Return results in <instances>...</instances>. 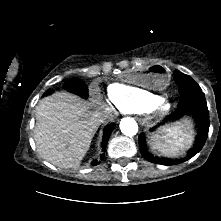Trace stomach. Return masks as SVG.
<instances>
[{
	"mask_svg": "<svg viewBox=\"0 0 221 221\" xmlns=\"http://www.w3.org/2000/svg\"><path fill=\"white\" fill-rule=\"evenodd\" d=\"M125 79L134 86L161 88L168 80V72L160 64H150L146 69L130 67L125 72Z\"/></svg>",
	"mask_w": 221,
	"mask_h": 221,
	"instance_id": "0dacf381",
	"label": "stomach"
}]
</instances>
